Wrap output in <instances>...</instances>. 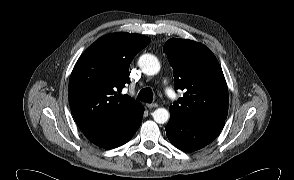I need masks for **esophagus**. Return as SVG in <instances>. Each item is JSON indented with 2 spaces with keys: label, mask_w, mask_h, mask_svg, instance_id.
Returning a JSON list of instances; mask_svg holds the SVG:
<instances>
[{
  "label": "esophagus",
  "mask_w": 294,
  "mask_h": 180,
  "mask_svg": "<svg viewBox=\"0 0 294 180\" xmlns=\"http://www.w3.org/2000/svg\"><path fill=\"white\" fill-rule=\"evenodd\" d=\"M146 106H147L149 109H152V108H156V107H158V104H157V103H148V104H146Z\"/></svg>",
  "instance_id": "esophagus-1"
}]
</instances>
